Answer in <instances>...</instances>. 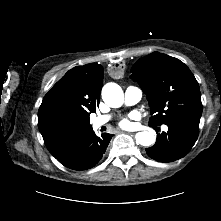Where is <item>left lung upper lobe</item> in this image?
<instances>
[{"mask_svg": "<svg viewBox=\"0 0 221 221\" xmlns=\"http://www.w3.org/2000/svg\"><path fill=\"white\" fill-rule=\"evenodd\" d=\"M132 73L131 78L141 85L150 103V125L202 115L198 82L179 59L154 52L139 59Z\"/></svg>", "mask_w": 221, "mask_h": 221, "instance_id": "obj_1", "label": "left lung upper lobe"}]
</instances>
